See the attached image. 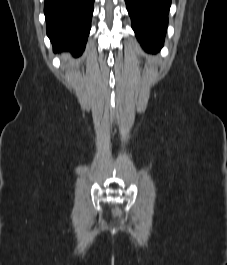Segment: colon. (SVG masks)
Returning a JSON list of instances; mask_svg holds the SVG:
<instances>
[{
	"label": "colon",
	"mask_w": 227,
	"mask_h": 265,
	"mask_svg": "<svg viewBox=\"0 0 227 265\" xmlns=\"http://www.w3.org/2000/svg\"><path fill=\"white\" fill-rule=\"evenodd\" d=\"M115 214L120 215V211L118 209H115Z\"/></svg>",
	"instance_id": "colon-1"
}]
</instances>
